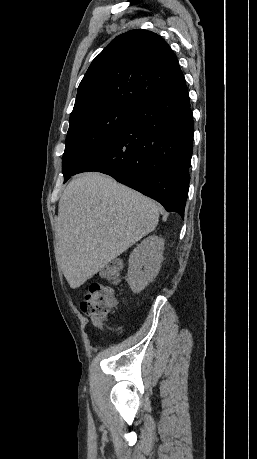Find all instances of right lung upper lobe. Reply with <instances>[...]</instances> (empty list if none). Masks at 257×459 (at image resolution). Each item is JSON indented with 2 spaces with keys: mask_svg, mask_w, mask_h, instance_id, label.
<instances>
[{
  "mask_svg": "<svg viewBox=\"0 0 257 459\" xmlns=\"http://www.w3.org/2000/svg\"><path fill=\"white\" fill-rule=\"evenodd\" d=\"M182 77L177 58L163 38L147 30L128 31L91 63L69 121L109 106L136 108Z\"/></svg>",
  "mask_w": 257,
  "mask_h": 459,
  "instance_id": "right-lung-upper-lobe-1",
  "label": "right lung upper lobe"
}]
</instances>
